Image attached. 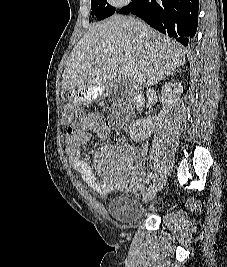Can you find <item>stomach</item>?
<instances>
[{
	"label": "stomach",
	"mask_w": 227,
	"mask_h": 267,
	"mask_svg": "<svg viewBox=\"0 0 227 267\" xmlns=\"http://www.w3.org/2000/svg\"><path fill=\"white\" fill-rule=\"evenodd\" d=\"M103 94V88L96 85H88V88L74 89L68 91V99L65 104H82L100 97Z\"/></svg>",
	"instance_id": "obj_1"
}]
</instances>
